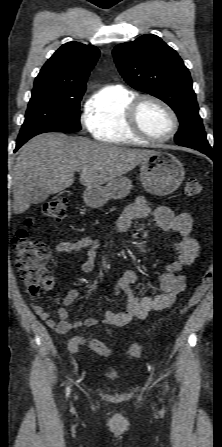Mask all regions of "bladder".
<instances>
[{
  "label": "bladder",
  "mask_w": 222,
  "mask_h": 447,
  "mask_svg": "<svg viewBox=\"0 0 222 447\" xmlns=\"http://www.w3.org/2000/svg\"><path fill=\"white\" fill-rule=\"evenodd\" d=\"M105 376L109 378H115L117 376V372L114 370L105 371Z\"/></svg>",
  "instance_id": "bladder-1"
}]
</instances>
